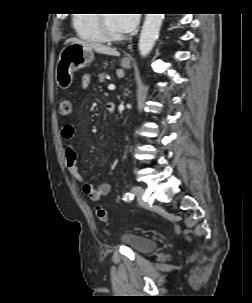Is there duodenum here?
<instances>
[{
	"label": "duodenum",
	"mask_w": 252,
	"mask_h": 303,
	"mask_svg": "<svg viewBox=\"0 0 252 303\" xmlns=\"http://www.w3.org/2000/svg\"><path fill=\"white\" fill-rule=\"evenodd\" d=\"M106 108V111L109 112V113H112L115 109V106L112 102H108L105 106Z\"/></svg>",
	"instance_id": "410a0bca"
}]
</instances>
